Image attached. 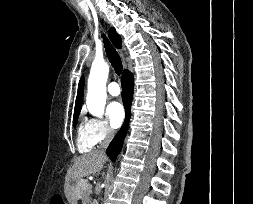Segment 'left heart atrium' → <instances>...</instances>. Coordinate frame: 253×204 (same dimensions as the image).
Returning a JSON list of instances; mask_svg holds the SVG:
<instances>
[{"label": "left heart atrium", "instance_id": "obj_1", "mask_svg": "<svg viewBox=\"0 0 253 204\" xmlns=\"http://www.w3.org/2000/svg\"><path fill=\"white\" fill-rule=\"evenodd\" d=\"M106 115L108 117L110 125L113 128H118L124 120V108L119 102L113 101L107 106Z\"/></svg>", "mask_w": 253, "mask_h": 204}]
</instances>
